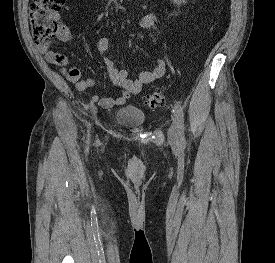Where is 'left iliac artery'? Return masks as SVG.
Segmentation results:
<instances>
[{
  "mask_svg": "<svg viewBox=\"0 0 275 263\" xmlns=\"http://www.w3.org/2000/svg\"><path fill=\"white\" fill-rule=\"evenodd\" d=\"M175 114H176V119H177L178 128H179V142L181 144H184L185 143L184 114H183V108L180 105V103L175 104Z\"/></svg>",
  "mask_w": 275,
  "mask_h": 263,
  "instance_id": "obj_1",
  "label": "left iliac artery"
}]
</instances>
